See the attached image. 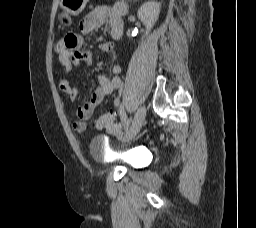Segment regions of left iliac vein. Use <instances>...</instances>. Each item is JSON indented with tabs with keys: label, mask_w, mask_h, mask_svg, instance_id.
<instances>
[{
	"label": "left iliac vein",
	"mask_w": 256,
	"mask_h": 228,
	"mask_svg": "<svg viewBox=\"0 0 256 228\" xmlns=\"http://www.w3.org/2000/svg\"><path fill=\"white\" fill-rule=\"evenodd\" d=\"M146 112H147V109L145 106H141L137 110L129 130L126 131V134L124 137L125 142L131 141L139 133V131L143 125V122L145 120Z\"/></svg>",
	"instance_id": "4c4485c4"
}]
</instances>
